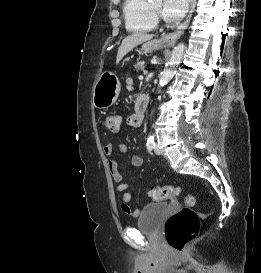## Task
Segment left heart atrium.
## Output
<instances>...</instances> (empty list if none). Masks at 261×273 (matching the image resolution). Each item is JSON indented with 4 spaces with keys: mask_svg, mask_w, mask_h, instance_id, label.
I'll return each instance as SVG.
<instances>
[{
    "mask_svg": "<svg viewBox=\"0 0 261 273\" xmlns=\"http://www.w3.org/2000/svg\"><path fill=\"white\" fill-rule=\"evenodd\" d=\"M189 0H164L163 13L169 20L180 19L186 12Z\"/></svg>",
    "mask_w": 261,
    "mask_h": 273,
    "instance_id": "1",
    "label": "left heart atrium"
}]
</instances>
